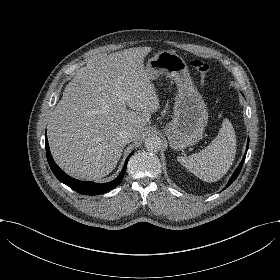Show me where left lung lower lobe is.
Masks as SVG:
<instances>
[{
    "mask_svg": "<svg viewBox=\"0 0 280 280\" xmlns=\"http://www.w3.org/2000/svg\"><path fill=\"white\" fill-rule=\"evenodd\" d=\"M248 146H249V139H248L247 148H246V152L244 154V157H243L241 163L239 164V166L237 167V169L235 170V172L233 173L232 177L230 178V180H229V182H228V184L226 185L225 188H227L230 184H232L235 181V179L238 177V175H239V173L241 171L242 165L244 163L245 157H246Z\"/></svg>",
    "mask_w": 280,
    "mask_h": 280,
    "instance_id": "obj_1",
    "label": "left lung lower lobe"
}]
</instances>
